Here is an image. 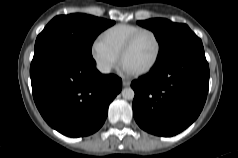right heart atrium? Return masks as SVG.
<instances>
[{"label":"right heart atrium","mask_w":238,"mask_h":158,"mask_svg":"<svg viewBox=\"0 0 238 158\" xmlns=\"http://www.w3.org/2000/svg\"><path fill=\"white\" fill-rule=\"evenodd\" d=\"M91 54L98 68L104 73H109L119 63V55L101 39H96L93 42Z\"/></svg>","instance_id":"right-heart-atrium-1"}]
</instances>
